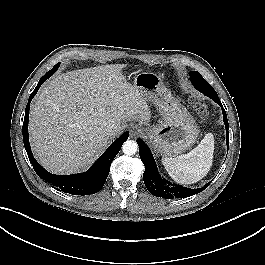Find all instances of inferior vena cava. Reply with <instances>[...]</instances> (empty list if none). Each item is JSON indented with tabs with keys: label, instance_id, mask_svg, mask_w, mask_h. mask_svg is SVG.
<instances>
[{
	"label": "inferior vena cava",
	"instance_id": "obj_1",
	"mask_svg": "<svg viewBox=\"0 0 265 265\" xmlns=\"http://www.w3.org/2000/svg\"><path fill=\"white\" fill-rule=\"evenodd\" d=\"M116 134L115 129L110 127L107 129V135L108 136H114Z\"/></svg>",
	"mask_w": 265,
	"mask_h": 265
}]
</instances>
